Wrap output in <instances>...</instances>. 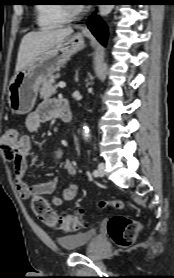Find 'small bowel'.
Masks as SVG:
<instances>
[{"instance_id": "c3829d8e", "label": "small bowel", "mask_w": 174, "mask_h": 278, "mask_svg": "<svg viewBox=\"0 0 174 278\" xmlns=\"http://www.w3.org/2000/svg\"><path fill=\"white\" fill-rule=\"evenodd\" d=\"M57 102L58 100L46 99L39 104L34 112L27 116L25 120V127L29 133L39 131L44 123L57 116ZM31 148V139L28 135L18 136L13 143L14 178L18 194L23 199L33 198L35 196L51 195V203L54 206H60L63 201L73 200L78 192L77 185L74 183H71L67 188H65L62 191L61 196L55 194L58 186V180L56 177L34 185H29L27 183V162L31 153ZM55 156L59 157L60 152H56ZM63 167L71 178L75 176L76 169L70 160H66Z\"/></svg>"}]
</instances>
